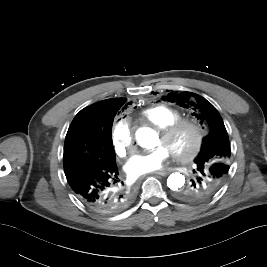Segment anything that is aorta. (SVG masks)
Listing matches in <instances>:
<instances>
[{
    "label": "aorta",
    "instance_id": "762f6f07",
    "mask_svg": "<svg viewBox=\"0 0 267 267\" xmlns=\"http://www.w3.org/2000/svg\"><path fill=\"white\" fill-rule=\"evenodd\" d=\"M135 135L138 144L147 149L155 147L156 142L158 140V136L154 132V130L148 127L139 128L136 131ZM184 184H185V176L179 172L170 174V176L167 179V186L172 191H178L184 188L183 187Z\"/></svg>",
    "mask_w": 267,
    "mask_h": 267
}]
</instances>
